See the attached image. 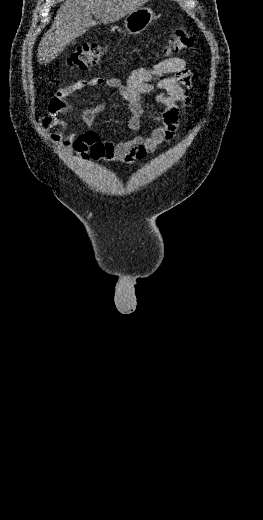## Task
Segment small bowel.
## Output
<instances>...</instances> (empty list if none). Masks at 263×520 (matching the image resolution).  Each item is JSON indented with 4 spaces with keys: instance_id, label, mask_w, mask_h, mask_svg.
Listing matches in <instances>:
<instances>
[{
    "instance_id": "obj_1",
    "label": "small bowel",
    "mask_w": 263,
    "mask_h": 520,
    "mask_svg": "<svg viewBox=\"0 0 263 520\" xmlns=\"http://www.w3.org/2000/svg\"><path fill=\"white\" fill-rule=\"evenodd\" d=\"M105 85L114 88L128 103L130 117L127 127L139 131L145 116L151 117L156 126L149 135H137L131 139L112 142L102 140L97 131L90 129L96 117L104 110L103 105L84 108L79 113L83 130L66 132V122L60 114L72 109L69 97L88 87ZM193 87V74L184 59L166 58L150 68H137L122 81L119 78L99 77L81 79L59 88L48 103L47 112L41 118L43 131L50 133L51 140L65 153L76 152L80 162L122 161L131 163L144 159L161 144L171 140L183 116L187 115L192 99L186 93ZM153 95L156 103L163 106L160 113H148L143 106V97Z\"/></svg>"
}]
</instances>
